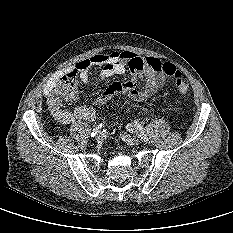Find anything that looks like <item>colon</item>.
Masks as SVG:
<instances>
[{
	"instance_id": "colon-1",
	"label": "colon",
	"mask_w": 233,
	"mask_h": 233,
	"mask_svg": "<svg viewBox=\"0 0 233 233\" xmlns=\"http://www.w3.org/2000/svg\"><path fill=\"white\" fill-rule=\"evenodd\" d=\"M161 70L169 77L175 78L176 88L179 93L187 94L189 92V83L176 67L170 63H164ZM58 102L62 105L64 101H72L77 98V86L74 76L63 77L57 87Z\"/></svg>"
}]
</instances>
